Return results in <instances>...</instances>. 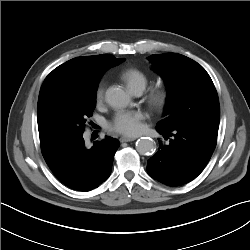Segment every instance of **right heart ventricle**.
Here are the masks:
<instances>
[{"label": "right heart ventricle", "instance_id": "e07e8e85", "mask_svg": "<svg viewBox=\"0 0 250 250\" xmlns=\"http://www.w3.org/2000/svg\"><path fill=\"white\" fill-rule=\"evenodd\" d=\"M120 76L132 91H143L149 81L147 74L138 68H127L121 72Z\"/></svg>", "mask_w": 250, "mask_h": 250}]
</instances>
